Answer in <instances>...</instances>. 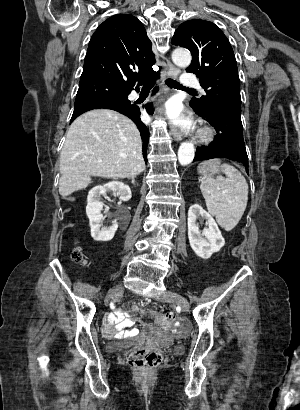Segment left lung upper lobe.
<instances>
[{"instance_id":"obj_1","label":"left lung upper lobe","mask_w":300,"mask_h":410,"mask_svg":"<svg viewBox=\"0 0 300 410\" xmlns=\"http://www.w3.org/2000/svg\"><path fill=\"white\" fill-rule=\"evenodd\" d=\"M171 42L190 50L192 62L186 70L197 74L206 92L193 98L191 107L203 117L219 107L241 113L237 64L224 33L212 22L192 19L178 27Z\"/></svg>"}]
</instances>
